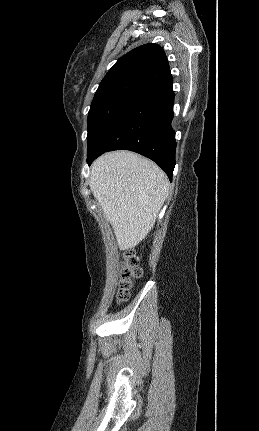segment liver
Listing matches in <instances>:
<instances>
[{
    "mask_svg": "<svg viewBox=\"0 0 259 431\" xmlns=\"http://www.w3.org/2000/svg\"><path fill=\"white\" fill-rule=\"evenodd\" d=\"M89 186L120 250L135 247L147 236L169 191L166 174L151 160L130 151L96 159Z\"/></svg>",
    "mask_w": 259,
    "mask_h": 431,
    "instance_id": "6515ba94",
    "label": "liver"
}]
</instances>
